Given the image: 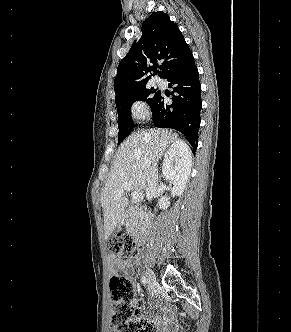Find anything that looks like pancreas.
I'll use <instances>...</instances> for the list:
<instances>
[{
	"instance_id": "obj_1",
	"label": "pancreas",
	"mask_w": 291,
	"mask_h": 332,
	"mask_svg": "<svg viewBox=\"0 0 291 332\" xmlns=\"http://www.w3.org/2000/svg\"><path fill=\"white\" fill-rule=\"evenodd\" d=\"M140 223V216L136 212L129 213L128 219L126 220V230L128 232H134L138 228Z\"/></svg>"
}]
</instances>
